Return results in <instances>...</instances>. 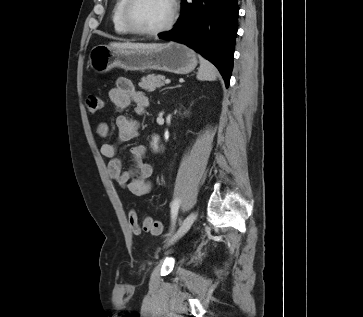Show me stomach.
Masks as SVG:
<instances>
[{
	"instance_id": "obj_1",
	"label": "stomach",
	"mask_w": 363,
	"mask_h": 317,
	"mask_svg": "<svg viewBox=\"0 0 363 317\" xmlns=\"http://www.w3.org/2000/svg\"><path fill=\"white\" fill-rule=\"evenodd\" d=\"M197 63L193 50L174 41L153 49H115L97 45L89 54V65L99 74L115 67L130 71L153 69L188 74L195 69Z\"/></svg>"
}]
</instances>
